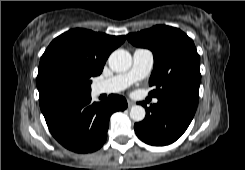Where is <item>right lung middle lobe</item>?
Returning <instances> with one entry per match:
<instances>
[{
    "mask_svg": "<svg viewBox=\"0 0 245 170\" xmlns=\"http://www.w3.org/2000/svg\"><path fill=\"white\" fill-rule=\"evenodd\" d=\"M91 81L57 73L47 82L50 95L58 102H70L91 94Z\"/></svg>",
    "mask_w": 245,
    "mask_h": 170,
    "instance_id": "1",
    "label": "right lung middle lobe"
}]
</instances>
